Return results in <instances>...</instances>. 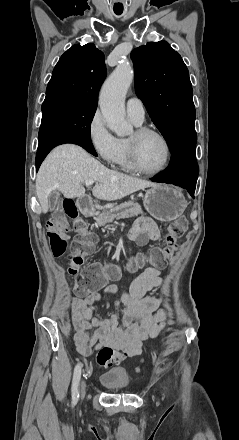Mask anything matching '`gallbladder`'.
Segmentation results:
<instances>
[{"label":"gallbladder","instance_id":"1","mask_svg":"<svg viewBox=\"0 0 239 440\" xmlns=\"http://www.w3.org/2000/svg\"><path fill=\"white\" fill-rule=\"evenodd\" d=\"M59 196H60V194H59V192H56V190H54V192H51V194H49V196H48L49 212H52V210H55Z\"/></svg>","mask_w":239,"mask_h":440}]
</instances>
